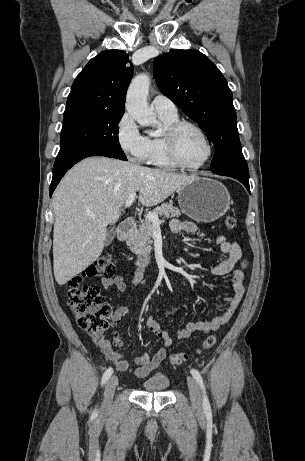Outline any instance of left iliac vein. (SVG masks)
Returning <instances> with one entry per match:
<instances>
[{"label":"left iliac vein","instance_id":"1","mask_svg":"<svg viewBox=\"0 0 305 461\" xmlns=\"http://www.w3.org/2000/svg\"><path fill=\"white\" fill-rule=\"evenodd\" d=\"M190 400L194 409L200 411L202 409V400L198 384L193 377L187 378Z\"/></svg>","mask_w":305,"mask_h":461}]
</instances>
